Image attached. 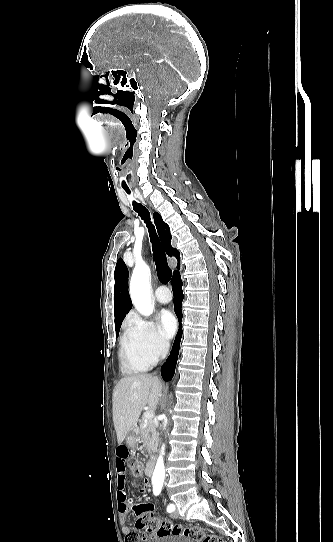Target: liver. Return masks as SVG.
<instances>
[{
	"instance_id": "6515ba94",
	"label": "liver",
	"mask_w": 333,
	"mask_h": 542,
	"mask_svg": "<svg viewBox=\"0 0 333 542\" xmlns=\"http://www.w3.org/2000/svg\"><path fill=\"white\" fill-rule=\"evenodd\" d=\"M162 384L151 374H129L119 380L113 392V424L118 444L124 442L128 432L136 428L145 406L157 410Z\"/></svg>"
}]
</instances>
